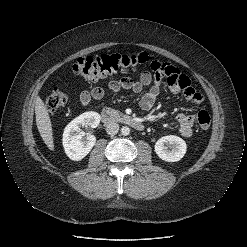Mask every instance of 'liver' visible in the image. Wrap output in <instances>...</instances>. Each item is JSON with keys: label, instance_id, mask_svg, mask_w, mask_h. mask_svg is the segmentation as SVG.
<instances>
[{"label": "liver", "instance_id": "liver-1", "mask_svg": "<svg viewBox=\"0 0 247 247\" xmlns=\"http://www.w3.org/2000/svg\"><path fill=\"white\" fill-rule=\"evenodd\" d=\"M36 125L40 136L50 150H54L52 124L48 114L47 107L43 100L37 97L35 102Z\"/></svg>", "mask_w": 247, "mask_h": 247}]
</instances>
